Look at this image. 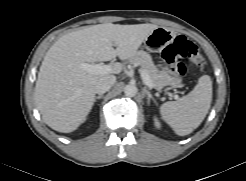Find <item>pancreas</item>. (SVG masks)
<instances>
[{
  "label": "pancreas",
  "instance_id": "obj_1",
  "mask_svg": "<svg viewBox=\"0 0 246 181\" xmlns=\"http://www.w3.org/2000/svg\"><path fill=\"white\" fill-rule=\"evenodd\" d=\"M129 64L139 65L141 71L145 72L153 85V88L160 90L167 85H175L181 80L177 76H171L164 70H159L153 63L150 54L145 51H137L129 58Z\"/></svg>",
  "mask_w": 246,
  "mask_h": 181
}]
</instances>
